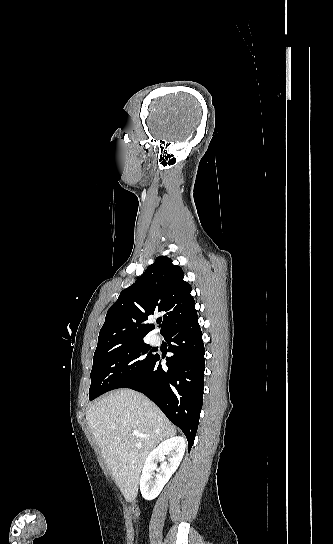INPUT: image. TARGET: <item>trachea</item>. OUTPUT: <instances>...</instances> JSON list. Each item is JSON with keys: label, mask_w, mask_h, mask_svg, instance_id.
Masks as SVG:
<instances>
[{"label": "trachea", "mask_w": 333, "mask_h": 544, "mask_svg": "<svg viewBox=\"0 0 333 544\" xmlns=\"http://www.w3.org/2000/svg\"><path fill=\"white\" fill-rule=\"evenodd\" d=\"M161 322H162V318H158L157 323H161Z\"/></svg>", "instance_id": "obj_1"}]
</instances>
